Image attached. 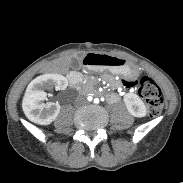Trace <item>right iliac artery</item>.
<instances>
[{
    "mask_svg": "<svg viewBox=\"0 0 183 183\" xmlns=\"http://www.w3.org/2000/svg\"><path fill=\"white\" fill-rule=\"evenodd\" d=\"M87 99H88V101H92L93 98L91 96H88Z\"/></svg>",
    "mask_w": 183,
    "mask_h": 183,
    "instance_id": "right-iliac-artery-1",
    "label": "right iliac artery"
}]
</instances>
